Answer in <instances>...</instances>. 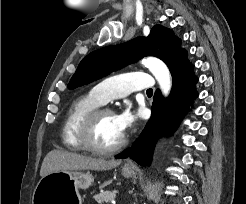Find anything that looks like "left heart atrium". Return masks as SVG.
<instances>
[{"label": "left heart atrium", "instance_id": "1", "mask_svg": "<svg viewBox=\"0 0 246 204\" xmlns=\"http://www.w3.org/2000/svg\"><path fill=\"white\" fill-rule=\"evenodd\" d=\"M139 113L133 112L129 109L122 111L121 113L115 115L116 121L122 132H126L132 128L139 119Z\"/></svg>", "mask_w": 246, "mask_h": 204}]
</instances>
